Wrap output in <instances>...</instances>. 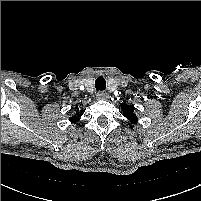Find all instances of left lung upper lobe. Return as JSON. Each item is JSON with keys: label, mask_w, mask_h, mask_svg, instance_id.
<instances>
[{"label": "left lung upper lobe", "mask_w": 201, "mask_h": 201, "mask_svg": "<svg viewBox=\"0 0 201 201\" xmlns=\"http://www.w3.org/2000/svg\"><path fill=\"white\" fill-rule=\"evenodd\" d=\"M121 108L123 111L124 116L133 124H136L138 121L137 116L134 113V106L133 105H127V104H121Z\"/></svg>", "instance_id": "left-lung-upper-lobe-1"}]
</instances>
